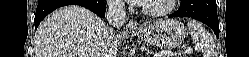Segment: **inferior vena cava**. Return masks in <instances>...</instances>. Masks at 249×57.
<instances>
[{
  "instance_id": "inferior-vena-cava-1",
  "label": "inferior vena cava",
  "mask_w": 249,
  "mask_h": 57,
  "mask_svg": "<svg viewBox=\"0 0 249 57\" xmlns=\"http://www.w3.org/2000/svg\"><path fill=\"white\" fill-rule=\"evenodd\" d=\"M107 6L106 18L112 28H108L104 32V39L111 49H117L118 35L113 31V28L120 29L124 25L126 21V12L121 0H110L108 1Z\"/></svg>"
}]
</instances>
